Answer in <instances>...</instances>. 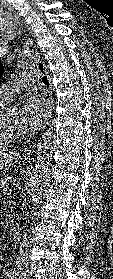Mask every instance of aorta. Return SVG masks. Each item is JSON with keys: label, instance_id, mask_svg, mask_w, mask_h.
<instances>
[{"label": "aorta", "instance_id": "obj_1", "mask_svg": "<svg viewBox=\"0 0 113 279\" xmlns=\"http://www.w3.org/2000/svg\"><path fill=\"white\" fill-rule=\"evenodd\" d=\"M38 54V51L34 49L22 52L18 59L19 66L23 68L34 66ZM54 144V136L50 132L44 133L38 140L37 161L28 190L32 202V212L37 210L49 184L51 176V155Z\"/></svg>", "mask_w": 113, "mask_h": 279}]
</instances>
